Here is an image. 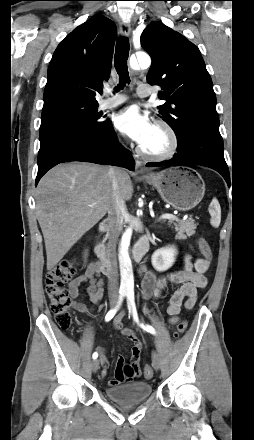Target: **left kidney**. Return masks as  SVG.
Listing matches in <instances>:
<instances>
[{
    "mask_svg": "<svg viewBox=\"0 0 254 440\" xmlns=\"http://www.w3.org/2000/svg\"><path fill=\"white\" fill-rule=\"evenodd\" d=\"M177 250L173 246H168L156 250L151 258L152 266L155 270L163 272L168 270L175 262Z\"/></svg>",
    "mask_w": 254,
    "mask_h": 440,
    "instance_id": "5707ae66",
    "label": "left kidney"
}]
</instances>
